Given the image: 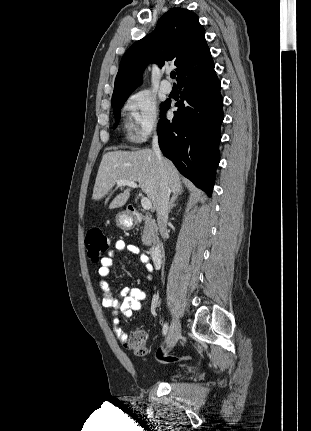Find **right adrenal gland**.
I'll use <instances>...</instances> for the list:
<instances>
[{"mask_svg":"<svg viewBox=\"0 0 311 431\" xmlns=\"http://www.w3.org/2000/svg\"><path fill=\"white\" fill-rule=\"evenodd\" d=\"M177 198H179V196H177V194H173V196H171V200L169 202V214H170L172 208H175V206H178V204H175Z\"/></svg>","mask_w":311,"mask_h":431,"instance_id":"right-adrenal-gland-1","label":"right adrenal gland"}]
</instances>
